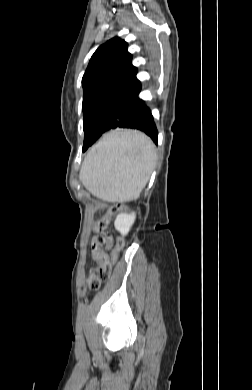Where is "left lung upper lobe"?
Returning a JSON list of instances; mask_svg holds the SVG:
<instances>
[{
  "label": "left lung upper lobe",
  "instance_id": "left-lung-upper-lobe-1",
  "mask_svg": "<svg viewBox=\"0 0 252 390\" xmlns=\"http://www.w3.org/2000/svg\"><path fill=\"white\" fill-rule=\"evenodd\" d=\"M131 61L127 43L118 37L95 51L82 78L84 129L93 119L116 115L140 91L137 68Z\"/></svg>",
  "mask_w": 252,
  "mask_h": 390
}]
</instances>
